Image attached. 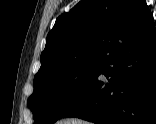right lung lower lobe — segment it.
Masks as SVG:
<instances>
[{
  "label": "right lung lower lobe",
  "mask_w": 156,
  "mask_h": 124,
  "mask_svg": "<svg viewBox=\"0 0 156 124\" xmlns=\"http://www.w3.org/2000/svg\"><path fill=\"white\" fill-rule=\"evenodd\" d=\"M98 124H156V29L129 33L111 46L79 98L61 118Z\"/></svg>",
  "instance_id": "right-lung-lower-lobe-1"
}]
</instances>
